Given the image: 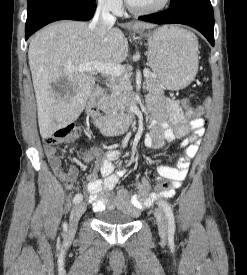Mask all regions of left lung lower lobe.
I'll return each mask as SVG.
<instances>
[{
  "label": "left lung lower lobe",
  "instance_id": "left-lung-lower-lobe-1",
  "mask_svg": "<svg viewBox=\"0 0 247 275\" xmlns=\"http://www.w3.org/2000/svg\"><path fill=\"white\" fill-rule=\"evenodd\" d=\"M139 19L158 24L179 23L191 26L214 46V13L210 0H190Z\"/></svg>",
  "mask_w": 247,
  "mask_h": 275
}]
</instances>
